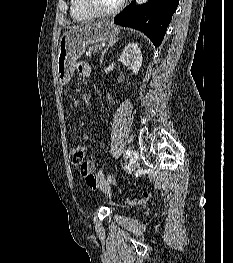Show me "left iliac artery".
<instances>
[{
	"instance_id": "obj_1",
	"label": "left iliac artery",
	"mask_w": 233,
	"mask_h": 263,
	"mask_svg": "<svg viewBox=\"0 0 233 263\" xmlns=\"http://www.w3.org/2000/svg\"><path fill=\"white\" fill-rule=\"evenodd\" d=\"M131 154H132V151H131L130 149L126 150L125 156H126L127 158L130 157Z\"/></svg>"
}]
</instances>
